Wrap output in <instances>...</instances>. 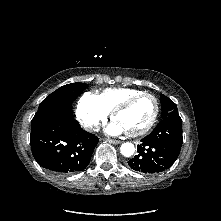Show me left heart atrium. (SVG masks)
Listing matches in <instances>:
<instances>
[{"label":"left heart atrium","mask_w":221,"mask_h":221,"mask_svg":"<svg viewBox=\"0 0 221 221\" xmlns=\"http://www.w3.org/2000/svg\"><path fill=\"white\" fill-rule=\"evenodd\" d=\"M107 132L111 135H119V134L125 133L126 130L123 128V126L119 122L114 121L108 126Z\"/></svg>","instance_id":"39dd6f15"}]
</instances>
